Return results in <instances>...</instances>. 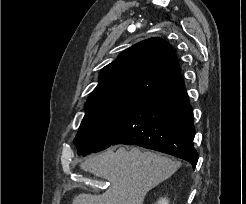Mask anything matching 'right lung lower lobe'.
Here are the masks:
<instances>
[{"label":"right lung lower lobe","mask_w":246,"mask_h":204,"mask_svg":"<svg viewBox=\"0 0 246 204\" xmlns=\"http://www.w3.org/2000/svg\"><path fill=\"white\" fill-rule=\"evenodd\" d=\"M193 112L181 75L136 98L111 145H138L184 159L195 168Z\"/></svg>","instance_id":"1"}]
</instances>
